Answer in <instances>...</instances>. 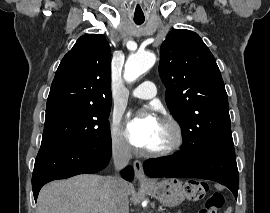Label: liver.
Returning <instances> with one entry per match:
<instances>
[{
    "instance_id": "liver-1",
    "label": "liver",
    "mask_w": 270,
    "mask_h": 213,
    "mask_svg": "<svg viewBox=\"0 0 270 213\" xmlns=\"http://www.w3.org/2000/svg\"><path fill=\"white\" fill-rule=\"evenodd\" d=\"M127 196L133 186L124 184ZM38 213H113L109 177L79 175L44 186L38 196Z\"/></svg>"
}]
</instances>
